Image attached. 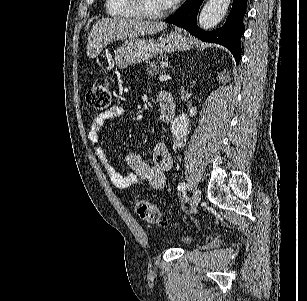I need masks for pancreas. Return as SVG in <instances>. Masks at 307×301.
<instances>
[{"label":"pancreas","instance_id":"1","mask_svg":"<svg viewBox=\"0 0 307 301\" xmlns=\"http://www.w3.org/2000/svg\"><path fill=\"white\" fill-rule=\"evenodd\" d=\"M165 66V62H160V60H157V62H150V66L146 68L148 76H157V74H162V68H165Z\"/></svg>","mask_w":307,"mask_h":301}]
</instances>
